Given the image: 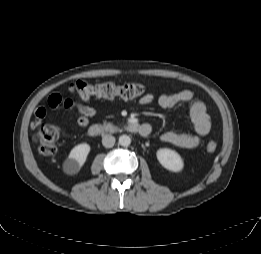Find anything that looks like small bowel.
<instances>
[{
    "label": "small bowel",
    "mask_w": 261,
    "mask_h": 254,
    "mask_svg": "<svg viewBox=\"0 0 261 254\" xmlns=\"http://www.w3.org/2000/svg\"><path fill=\"white\" fill-rule=\"evenodd\" d=\"M153 99L154 95L152 93H149L143 96L140 99L139 103L141 105H146L150 103ZM193 99L194 94L190 90H180L178 92H164L158 97V103L164 109H172L181 103H190L189 113L195 131V134L165 132L160 137V140L162 142L172 144L182 149H193L200 144L201 137L206 136L210 132L211 123L206 105L201 101H194ZM61 105L62 100L60 105L56 107H51L49 105V107L55 109ZM64 106L67 110H69L76 116L78 125L81 128H87L89 125V119L96 115V110L94 108L80 103L66 101L64 103ZM45 115V108H37L34 114V119L31 122V128H37L41 124Z\"/></svg>",
    "instance_id": "small-bowel-1"
}]
</instances>
